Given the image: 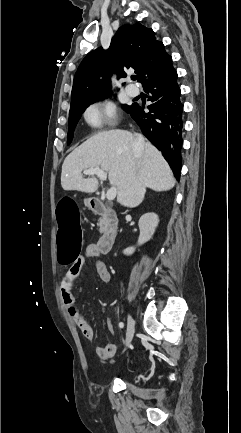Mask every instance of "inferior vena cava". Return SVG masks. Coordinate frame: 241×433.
Segmentation results:
<instances>
[{
    "label": "inferior vena cava",
    "mask_w": 241,
    "mask_h": 433,
    "mask_svg": "<svg viewBox=\"0 0 241 433\" xmlns=\"http://www.w3.org/2000/svg\"><path fill=\"white\" fill-rule=\"evenodd\" d=\"M144 139L142 135L136 134V138L133 142V152L135 156L137 157V164H140V155L144 150Z\"/></svg>",
    "instance_id": "obj_1"
}]
</instances>
